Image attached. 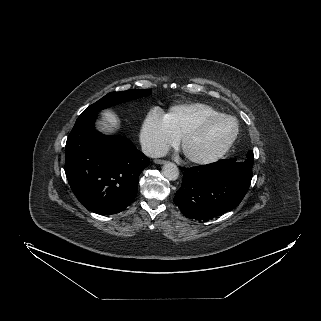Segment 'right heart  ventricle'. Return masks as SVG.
<instances>
[{
    "mask_svg": "<svg viewBox=\"0 0 321 321\" xmlns=\"http://www.w3.org/2000/svg\"><path fill=\"white\" fill-rule=\"evenodd\" d=\"M222 114L215 107L205 103H187L171 107L163 117L167 129L179 139L182 134L201 120Z\"/></svg>",
    "mask_w": 321,
    "mask_h": 321,
    "instance_id": "1",
    "label": "right heart ventricle"
}]
</instances>
